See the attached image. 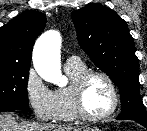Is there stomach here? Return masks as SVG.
<instances>
[{"label": "stomach", "instance_id": "obj_1", "mask_svg": "<svg viewBox=\"0 0 147 131\" xmlns=\"http://www.w3.org/2000/svg\"><path fill=\"white\" fill-rule=\"evenodd\" d=\"M83 131H101V130L96 127H89V128L83 129Z\"/></svg>", "mask_w": 147, "mask_h": 131}]
</instances>
